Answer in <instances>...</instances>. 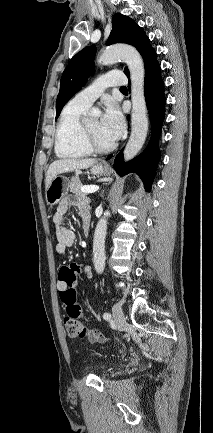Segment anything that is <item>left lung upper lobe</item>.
<instances>
[{
	"instance_id": "5c2ea615",
	"label": "left lung upper lobe",
	"mask_w": 213,
	"mask_h": 433,
	"mask_svg": "<svg viewBox=\"0 0 213 433\" xmlns=\"http://www.w3.org/2000/svg\"><path fill=\"white\" fill-rule=\"evenodd\" d=\"M150 40L134 20L120 13L112 19V30L107 40V45L114 43H126L136 47L141 56L152 49ZM95 45L85 47L78 52L65 68L61 81L60 91L56 101V119L68 100L78 92L86 83L88 76L94 71ZM124 72L129 75L127 68Z\"/></svg>"
}]
</instances>
